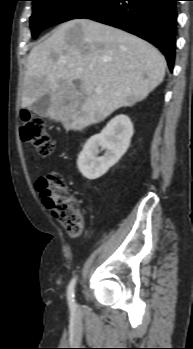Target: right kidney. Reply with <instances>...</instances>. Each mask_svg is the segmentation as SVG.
I'll return each instance as SVG.
<instances>
[{"instance_id":"ca27d5eb","label":"right kidney","mask_w":193,"mask_h":349,"mask_svg":"<svg viewBox=\"0 0 193 349\" xmlns=\"http://www.w3.org/2000/svg\"><path fill=\"white\" fill-rule=\"evenodd\" d=\"M132 136L130 118L124 114L114 117L100 134L88 139L78 155L77 166L81 174L89 180L103 176L127 151ZM99 147L106 150L104 156H97Z\"/></svg>"}]
</instances>
